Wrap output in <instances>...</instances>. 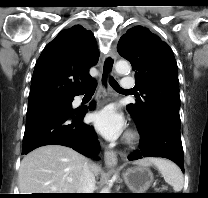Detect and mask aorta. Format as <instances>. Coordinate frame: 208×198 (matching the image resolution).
I'll return each mask as SVG.
<instances>
[{
  "instance_id": "obj_1",
  "label": "aorta",
  "mask_w": 208,
  "mask_h": 198,
  "mask_svg": "<svg viewBox=\"0 0 208 198\" xmlns=\"http://www.w3.org/2000/svg\"><path fill=\"white\" fill-rule=\"evenodd\" d=\"M115 69L119 74H126L130 71V65L127 61L120 60L116 63ZM101 193H110L109 188L108 187L103 188Z\"/></svg>"
}]
</instances>
